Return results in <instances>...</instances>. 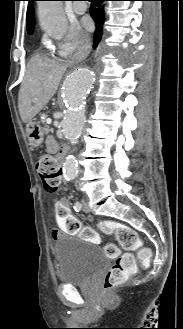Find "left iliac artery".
Listing matches in <instances>:
<instances>
[{"label": "left iliac artery", "mask_w": 183, "mask_h": 329, "mask_svg": "<svg viewBox=\"0 0 183 329\" xmlns=\"http://www.w3.org/2000/svg\"><path fill=\"white\" fill-rule=\"evenodd\" d=\"M81 208H82L81 203L79 201H76L75 204H74V210L76 212H79L81 210Z\"/></svg>", "instance_id": "obj_1"}]
</instances>
